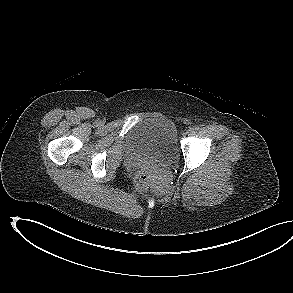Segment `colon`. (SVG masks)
<instances>
[{
	"label": "colon",
	"mask_w": 293,
	"mask_h": 293,
	"mask_svg": "<svg viewBox=\"0 0 293 293\" xmlns=\"http://www.w3.org/2000/svg\"><path fill=\"white\" fill-rule=\"evenodd\" d=\"M152 181V174L149 169H140L135 173L134 184L137 189L147 188Z\"/></svg>",
	"instance_id": "5ec220e1"
}]
</instances>
